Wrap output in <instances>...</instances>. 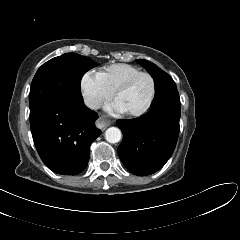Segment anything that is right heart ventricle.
Listing matches in <instances>:
<instances>
[{"mask_svg":"<svg viewBox=\"0 0 240 240\" xmlns=\"http://www.w3.org/2000/svg\"><path fill=\"white\" fill-rule=\"evenodd\" d=\"M141 72L137 66L125 63L111 64L98 73L101 80L112 90L116 89L128 78Z\"/></svg>","mask_w":240,"mask_h":240,"instance_id":"right-heart-ventricle-1","label":"right heart ventricle"}]
</instances>
